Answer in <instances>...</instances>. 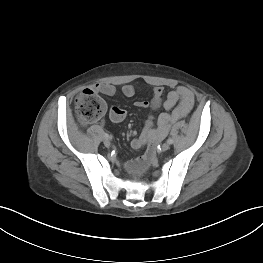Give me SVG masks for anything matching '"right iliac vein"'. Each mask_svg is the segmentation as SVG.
I'll use <instances>...</instances> for the list:
<instances>
[{"instance_id": "right-iliac-vein-1", "label": "right iliac vein", "mask_w": 263, "mask_h": 263, "mask_svg": "<svg viewBox=\"0 0 263 263\" xmlns=\"http://www.w3.org/2000/svg\"><path fill=\"white\" fill-rule=\"evenodd\" d=\"M104 145H105L107 148H109L110 145H111V143H110V141H109L108 139H104Z\"/></svg>"}]
</instances>
